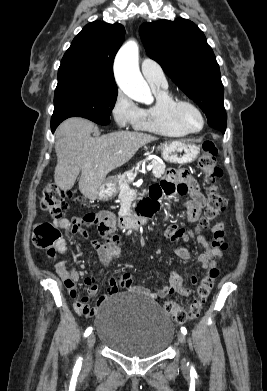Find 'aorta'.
<instances>
[{"label": "aorta", "mask_w": 267, "mask_h": 391, "mask_svg": "<svg viewBox=\"0 0 267 391\" xmlns=\"http://www.w3.org/2000/svg\"><path fill=\"white\" fill-rule=\"evenodd\" d=\"M138 59V44L134 40L126 42L115 58V78L120 89L128 97L137 102L147 103L151 100L152 94L139 71Z\"/></svg>", "instance_id": "762f6f07"}]
</instances>
